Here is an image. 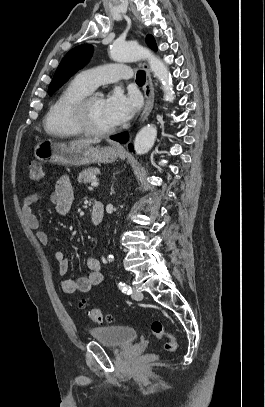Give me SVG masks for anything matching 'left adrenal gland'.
<instances>
[{
    "instance_id": "left-adrenal-gland-1",
    "label": "left adrenal gland",
    "mask_w": 265,
    "mask_h": 407,
    "mask_svg": "<svg viewBox=\"0 0 265 407\" xmlns=\"http://www.w3.org/2000/svg\"><path fill=\"white\" fill-rule=\"evenodd\" d=\"M111 194H114V189H113V187H111Z\"/></svg>"
}]
</instances>
